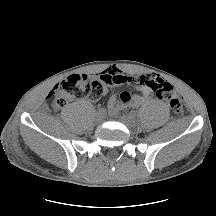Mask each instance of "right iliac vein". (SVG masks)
I'll list each match as a JSON object with an SVG mask.
<instances>
[{
  "instance_id": "right-iliac-vein-1",
  "label": "right iliac vein",
  "mask_w": 216,
  "mask_h": 216,
  "mask_svg": "<svg viewBox=\"0 0 216 216\" xmlns=\"http://www.w3.org/2000/svg\"><path fill=\"white\" fill-rule=\"evenodd\" d=\"M102 120H103V116L97 114L96 117H95V122H96L97 124H99V123L102 122Z\"/></svg>"
}]
</instances>
